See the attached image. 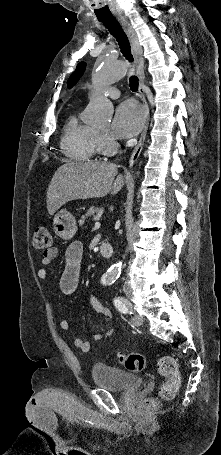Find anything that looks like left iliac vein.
I'll use <instances>...</instances> for the list:
<instances>
[{
	"mask_svg": "<svg viewBox=\"0 0 221 455\" xmlns=\"http://www.w3.org/2000/svg\"><path fill=\"white\" fill-rule=\"evenodd\" d=\"M132 307V305H131ZM131 322L135 326H140L143 324V317L135 314L134 316L131 317Z\"/></svg>",
	"mask_w": 221,
	"mask_h": 455,
	"instance_id": "obj_1",
	"label": "left iliac vein"
}]
</instances>
